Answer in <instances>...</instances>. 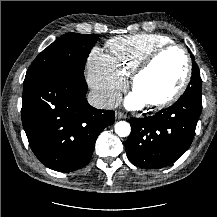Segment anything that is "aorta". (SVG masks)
I'll return each mask as SVG.
<instances>
[{
  "mask_svg": "<svg viewBox=\"0 0 217 217\" xmlns=\"http://www.w3.org/2000/svg\"><path fill=\"white\" fill-rule=\"evenodd\" d=\"M115 132L120 137H127L130 135L131 127L126 121H119L115 124Z\"/></svg>",
  "mask_w": 217,
  "mask_h": 217,
  "instance_id": "obj_1",
  "label": "aorta"
}]
</instances>
